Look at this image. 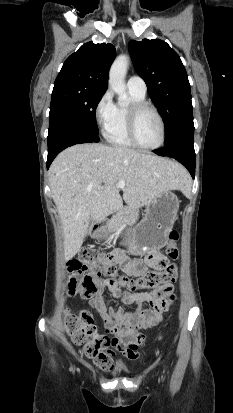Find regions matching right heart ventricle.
Segmentation results:
<instances>
[{
    "instance_id": "1",
    "label": "right heart ventricle",
    "mask_w": 233,
    "mask_h": 413,
    "mask_svg": "<svg viewBox=\"0 0 233 413\" xmlns=\"http://www.w3.org/2000/svg\"><path fill=\"white\" fill-rule=\"evenodd\" d=\"M131 102L129 105H115L112 121L104 132L107 141L117 147L132 148L133 143L129 139L127 131V119L129 107L136 102L145 100V96L129 91Z\"/></svg>"
}]
</instances>
